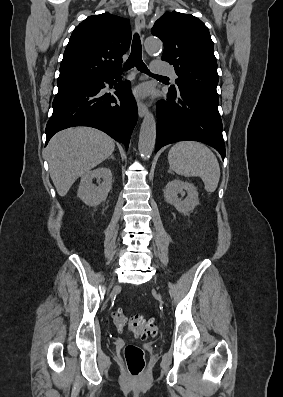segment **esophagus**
<instances>
[{
    "label": "esophagus",
    "mask_w": 283,
    "mask_h": 397,
    "mask_svg": "<svg viewBox=\"0 0 283 397\" xmlns=\"http://www.w3.org/2000/svg\"><path fill=\"white\" fill-rule=\"evenodd\" d=\"M135 27L136 30L141 33L145 28V19L142 15H138L135 18ZM138 114L142 118L148 112L147 106L140 100H137Z\"/></svg>",
    "instance_id": "1"
}]
</instances>
